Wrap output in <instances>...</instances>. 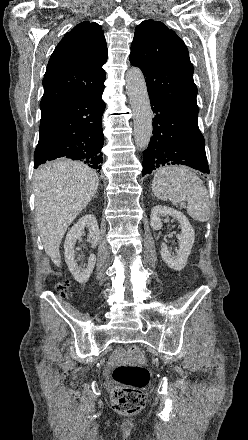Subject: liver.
I'll return each mask as SVG.
<instances>
[{"label": "liver", "instance_id": "liver-1", "mask_svg": "<svg viewBox=\"0 0 248 440\" xmlns=\"http://www.w3.org/2000/svg\"><path fill=\"white\" fill-rule=\"evenodd\" d=\"M36 221L46 254L59 267L60 244L69 225L96 194V171L82 162L58 159L34 174Z\"/></svg>", "mask_w": 248, "mask_h": 440}]
</instances>
